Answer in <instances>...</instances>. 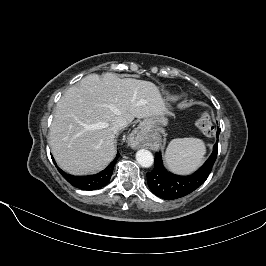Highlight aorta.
<instances>
[{
  "mask_svg": "<svg viewBox=\"0 0 266 266\" xmlns=\"http://www.w3.org/2000/svg\"><path fill=\"white\" fill-rule=\"evenodd\" d=\"M136 160L139 165L145 168L151 167L154 163V157L152 153L145 149H140L139 151H137Z\"/></svg>",
  "mask_w": 266,
  "mask_h": 266,
  "instance_id": "1",
  "label": "aorta"
}]
</instances>
